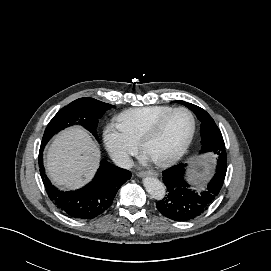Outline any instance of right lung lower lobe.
I'll list each match as a JSON object with an SVG mask.
<instances>
[{
	"mask_svg": "<svg viewBox=\"0 0 271 271\" xmlns=\"http://www.w3.org/2000/svg\"><path fill=\"white\" fill-rule=\"evenodd\" d=\"M43 149L39 153L41 177L49 198L67 215L78 219H92L107 210L122 184L131 172L102 160L92 182L77 191L62 192L55 188L45 175Z\"/></svg>",
	"mask_w": 271,
	"mask_h": 271,
	"instance_id": "98d812e1",
	"label": "right lung lower lobe"
}]
</instances>
